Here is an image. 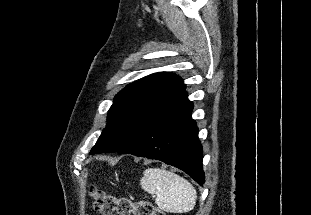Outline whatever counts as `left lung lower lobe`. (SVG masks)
Here are the masks:
<instances>
[{
	"label": "left lung lower lobe",
	"mask_w": 311,
	"mask_h": 215,
	"mask_svg": "<svg viewBox=\"0 0 311 215\" xmlns=\"http://www.w3.org/2000/svg\"><path fill=\"white\" fill-rule=\"evenodd\" d=\"M186 91L156 113L120 151L175 166L203 185L202 145L192 119L193 104Z\"/></svg>",
	"instance_id": "obj_1"
}]
</instances>
